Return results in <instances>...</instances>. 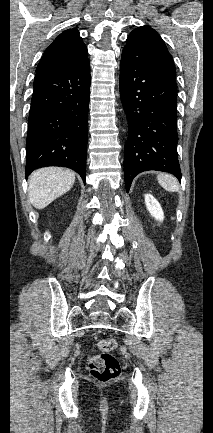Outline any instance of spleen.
<instances>
[{"label": "spleen", "instance_id": "1", "mask_svg": "<svg viewBox=\"0 0 213 433\" xmlns=\"http://www.w3.org/2000/svg\"><path fill=\"white\" fill-rule=\"evenodd\" d=\"M159 184L169 192H178L179 183L175 177L169 174H159L157 176Z\"/></svg>", "mask_w": 213, "mask_h": 433}]
</instances>
